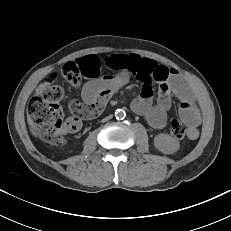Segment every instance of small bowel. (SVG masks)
<instances>
[{"instance_id": "small-bowel-1", "label": "small bowel", "mask_w": 231, "mask_h": 231, "mask_svg": "<svg viewBox=\"0 0 231 231\" xmlns=\"http://www.w3.org/2000/svg\"><path fill=\"white\" fill-rule=\"evenodd\" d=\"M104 69L111 72H103ZM62 74L72 86H81V101L72 100L69 104L73 112L66 120V131L69 133L79 131L83 120L101 114L109 98L132 78H136L141 81L142 89L131 103V108L152 129H162L167 125L171 108L170 95L174 94L180 101L179 113L187 125L188 138L194 140L199 135L200 112L190 89L173 68L136 54H112L105 57L87 55L66 63ZM57 78L58 74L53 73L45 83H51ZM82 80H85L83 84ZM154 84L158 85L156 103H153Z\"/></svg>"}]
</instances>
